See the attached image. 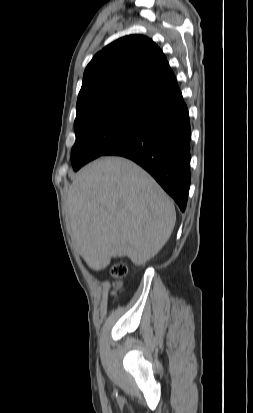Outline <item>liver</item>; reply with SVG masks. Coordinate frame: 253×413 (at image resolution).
Returning <instances> with one entry per match:
<instances>
[{"label":"liver","instance_id":"obj_1","mask_svg":"<svg viewBox=\"0 0 253 413\" xmlns=\"http://www.w3.org/2000/svg\"><path fill=\"white\" fill-rule=\"evenodd\" d=\"M67 211L75 250L96 271L115 256L144 265L168 241L176 221L170 197L122 157L85 166L69 188Z\"/></svg>","mask_w":253,"mask_h":413}]
</instances>
